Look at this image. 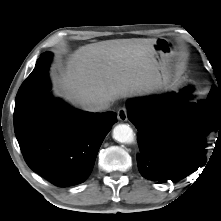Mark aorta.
Masks as SVG:
<instances>
[{
    "instance_id": "aorta-1",
    "label": "aorta",
    "mask_w": 221,
    "mask_h": 221,
    "mask_svg": "<svg viewBox=\"0 0 221 221\" xmlns=\"http://www.w3.org/2000/svg\"><path fill=\"white\" fill-rule=\"evenodd\" d=\"M113 138L117 142L130 144L134 142L133 129L127 124H119L113 129Z\"/></svg>"
}]
</instances>
